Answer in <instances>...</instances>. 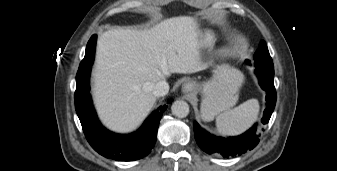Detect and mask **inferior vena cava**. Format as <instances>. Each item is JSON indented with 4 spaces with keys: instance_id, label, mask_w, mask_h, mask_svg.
Returning a JSON list of instances; mask_svg holds the SVG:
<instances>
[{
    "instance_id": "inferior-vena-cava-1",
    "label": "inferior vena cava",
    "mask_w": 337,
    "mask_h": 171,
    "mask_svg": "<svg viewBox=\"0 0 337 171\" xmlns=\"http://www.w3.org/2000/svg\"><path fill=\"white\" fill-rule=\"evenodd\" d=\"M169 91V85L165 80L158 81L152 85V93L156 97L164 96Z\"/></svg>"
}]
</instances>
